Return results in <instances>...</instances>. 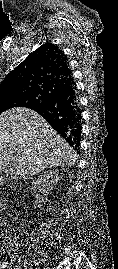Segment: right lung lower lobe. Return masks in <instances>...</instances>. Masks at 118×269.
<instances>
[{"label":"right lung lower lobe","mask_w":118,"mask_h":269,"mask_svg":"<svg viewBox=\"0 0 118 269\" xmlns=\"http://www.w3.org/2000/svg\"><path fill=\"white\" fill-rule=\"evenodd\" d=\"M38 112L69 144L80 146L81 111L75 82L41 104L30 107Z\"/></svg>","instance_id":"right-lung-lower-lobe-1"}]
</instances>
